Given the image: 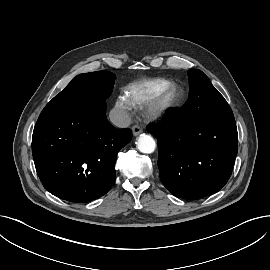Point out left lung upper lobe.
Here are the masks:
<instances>
[{
    "label": "left lung upper lobe",
    "mask_w": 270,
    "mask_h": 270,
    "mask_svg": "<svg viewBox=\"0 0 270 270\" xmlns=\"http://www.w3.org/2000/svg\"><path fill=\"white\" fill-rule=\"evenodd\" d=\"M189 76V98L198 114L203 117L233 115L224 97L211 84L208 77L200 70L191 69Z\"/></svg>",
    "instance_id": "5c2ea615"
}]
</instances>
